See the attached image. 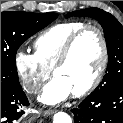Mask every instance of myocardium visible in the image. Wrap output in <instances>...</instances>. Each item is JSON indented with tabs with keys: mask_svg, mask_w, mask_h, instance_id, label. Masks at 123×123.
<instances>
[{
	"mask_svg": "<svg viewBox=\"0 0 123 123\" xmlns=\"http://www.w3.org/2000/svg\"><path fill=\"white\" fill-rule=\"evenodd\" d=\"M89 31H95L99 37L101 43V60L98 69L91 81L83 89L72 92L75 97H83L92 92L99 85L104 76L108 64L109 52L107 39L103 30L97 25L88 24L73 33L65 42L61 55L52 68V73L54 76H56L57 70L68 62L76 42L79 40V38H81L85 33Z\"/></svg>",
	"mask_w": 123,
	"mask_h": 123,
	"instance_id": "f54148a6",
	"label": "myocardium"
}]
</instances>
